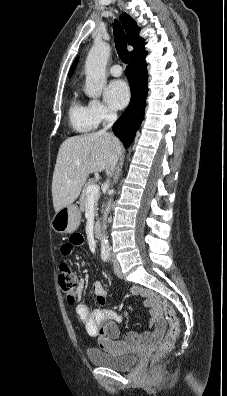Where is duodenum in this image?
<instances>
[{"instance_id": "obj_1", "label": "duodenum", "mask_w": 227, "mask_h": 396, "mask_svg": "<svg viewBox=\"0 0 227 396\" xmlns=\"http://www.w3.org/2000/svg\"><path fill=\"white\" fill-rule=\"evenodd\" d=\"M93 234L96 238H100L101 236V224L96 222L93 226Z\"/></svg>"}]
</instances>
